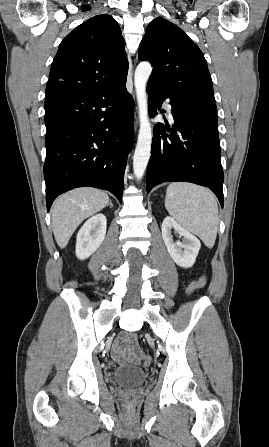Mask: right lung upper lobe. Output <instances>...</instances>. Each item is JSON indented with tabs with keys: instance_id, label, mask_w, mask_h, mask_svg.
I'll return each mask as SVG.
<instances>
[{
	"instance_id": "cb5924a9",
	"label": "right lung upper lobe",
	"mask_w": 269,
	"mask_h": 447,
	"mask_svg": "<svg viewBox=\"0 0 269 447\" xmlns=\"http://www.w3.org/2000/svg\"><path fill=\"white\" fill-rule=\"evenodd\" d=\"M121 29L111 15H98L76 27L60 43L53 60L46 97L91 91L127 76Z\"/></svg>"
}]
</instances>
